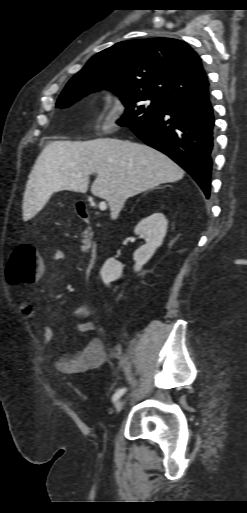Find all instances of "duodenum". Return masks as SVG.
<instances>
[{
	"label": "duodenum",
	"mask_w": 247,
	"mask_h": 513,
	"mask_svg": "<svg viewBox=\"0 0 247 513\" xmlns=\"http://www.w3.org/2000/svg\"><path fill=\"white\" fill-rule=\"evenodd\" d=\"M77 210H78V213L80 214V216L84 220H89L90 214H89L88 208H87V206H86V204L84 202H78ZM97 258H98L97 253H92V255L90 257V262L92 264H95L96 261H97Z\"/></svg>",
	"instance_id": "obj_1"
}]
</instances>
